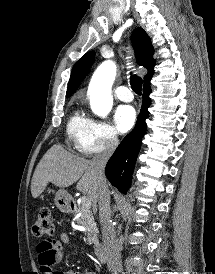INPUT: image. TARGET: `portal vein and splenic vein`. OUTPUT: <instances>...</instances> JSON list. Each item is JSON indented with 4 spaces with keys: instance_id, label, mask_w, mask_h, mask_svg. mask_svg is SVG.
<instances>
[{
    "instance_id": "portal-vein-and-splenic-vein-1",
    "label": "portal vein and splenic vein",
    "mask_w": 215,
    "mask_h": 274,
    "mask_svg": "<svg viewBox=\"0 0 215 274\" xmlns=\"http://www.w3.org/2000/svg\"><path fill=\"white\" fill-rule=\"evenodd\" d=\"M81 203H82V207L83 208L90 209V207H91V200L88 197L83 196L82 199H81Z\"/></svg>"
}]
</instances>
